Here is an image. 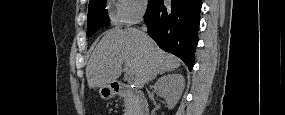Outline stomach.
<instances>
[{"instance_id": "1", "label": "stomach", "mask_w": 285, "mask_h": 115, "mask_svg": "<svg viewBox=\"0 0 285 115\" xmlns=\"http://www.w3.org/2000/svg\"><path fill=\"white\" fill-rule=\"evenodd\" d=\"M100 96L103 100H109L115 95V91L111 85H105L99 90Z\"/></svg>"}]
</instances>
